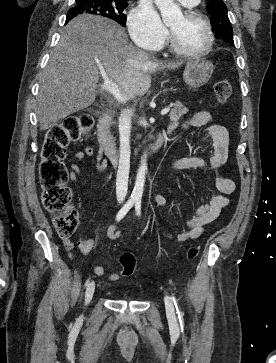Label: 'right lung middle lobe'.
Returning a JSON list of instances; mask_svg holds the SVG:
<instances>
[{
    "instance_id": "right-lung-middle-lobe-1",
    "label": "right lung middle lobe",
    "mask_w": 276,
    "mask_h": 363,
    "mask_svg": "<svg viewBox=\"0 0 276 363\" xmlns=\"http://www.w3.org/2000/svg\"><path fill=\"white\" fill-rule=\"evenodd\" d=\"M128 6L127 2L111 0H76L67 17H75L78 14H93L110 18L122 26L126 25V15L123 13Z\"/></svg>"
}]
</instances>
